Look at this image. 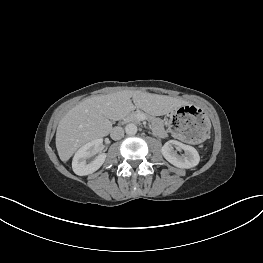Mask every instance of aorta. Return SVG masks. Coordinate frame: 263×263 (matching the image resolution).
Segmentation results:
<instances>
[{
    "instance_id": "obj_1",
    "label": "aorta",
    "mask_w": 263,
    "mask_h": 263,
    "mask_svg": "<svg viewBox=\"0 0 263 263\" xmlns=\"http://www.w3.org/2000/svg\"><path fill=\"white\" fill-rule=\"evenodd\" d=\"M137 131V126L134 123H129L125 126V132L128 135H135Z\"/></svg>"
}]
</instances>
